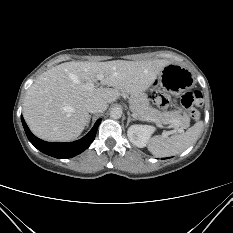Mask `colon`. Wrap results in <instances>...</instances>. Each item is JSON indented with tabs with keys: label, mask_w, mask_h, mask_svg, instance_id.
<instances>
[{
	"label": "colon",
	"mask_w": 233,
	"mask_h": 233,
	"mask_svg": "<svg viewBox=\"0 0 233 233\" xmlns=\"http://www.w3.org/2000/svg\"><path fill=\"white\" fill-rule=\"evenodd\" d=\"M153 102L160 108H166L170 103V97L164 94H154ZM203 95L200 91H187L181 98V103L186 108L192 119L198 120L200 117L199 111L196 109V106L202 104Z\"/></svg>",
	"instance_id": "1"
}]
</instances>
